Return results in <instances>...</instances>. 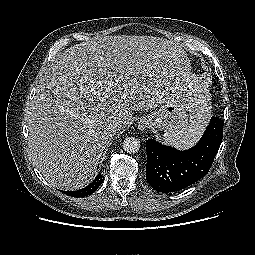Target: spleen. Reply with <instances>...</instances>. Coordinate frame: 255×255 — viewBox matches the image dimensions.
<instances>
[{
    "label": "spleen",
    "mask_w": 255,
    "mask_h": 255,
    "mask_svg": "<svg viewBox=\"0 0 255 255\" xmlns=\"http://www.w3.org/2000/svg\"><path fill=\"white\" fill-rule=\"evenodd\" d=\"M208 115L206 110H199L190 118V124L181 130L168 131L163 135V142L173 145L180 149H186L193 146L201 136Z\"/></svg>",
    "instance_id": "obj_1"
}]
</instances>
